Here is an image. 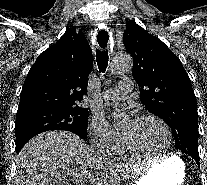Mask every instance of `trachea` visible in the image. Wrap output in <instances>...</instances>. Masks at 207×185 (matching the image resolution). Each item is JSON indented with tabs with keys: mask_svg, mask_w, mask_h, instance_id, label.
<instances>
[{
	"mask_svg": "<svg viewBox=\"0 0 207 185\" xmlns=\"http://www.w3.org/2000/svg\"><path fill=\"white\" fill-rule=\"evenodd\" d=\"M108 39H109L108 33L105 30H100V32L98 33V40L102 48H105L104 42L107 44ZM96 60L100 72H105L108 64L107 50L103 52L101 50H96Z\"/></svg>",
	"mask_w": 207,
	"mask_h": 185,
	"instance_id": "3493384b",
	"label": "trachea"
}]
</instances>
